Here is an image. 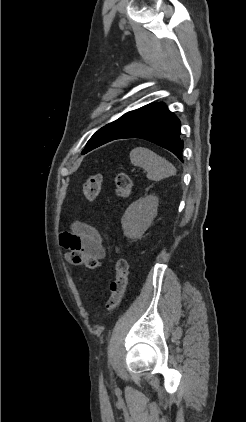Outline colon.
Listing matches in <instances>:
<instances>
[{
  "instance_id": "5ec220e1",
  "label": "colon",
  "mask_w": 246,
  "mask_h": 422,
  "mask_svg": "<svg viewBox=\"0 0 246 422\" xmlns=\"http://www.w3.org/2000/svg\"><path fill=\"white\" fill-rule=\"evenodd\" d=\"M103 178L101 174L91 175L83 184L82 192L87 199H94L100 192ZM132 190V180L126 173H119L115 178V191L119 199L127 198ZM117 252V250H116ZM66 259L73 265H84L88 269H96L98 261L79 250H71L66 254ZM114 278L110 284V298L106 304L107 312H113L121 303L127 288L128 265L121 258L116 257L113 262Z\"/></svg>"
}]
</instances>
